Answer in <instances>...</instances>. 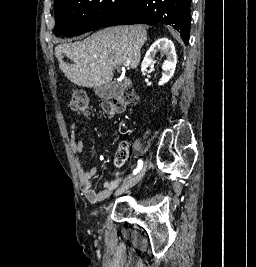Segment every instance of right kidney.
I'll return each mask as SVG.
<instances>
[{
  "instance_id": "1",
  "label": "right kidney",
  "mask_w": 256,
  "mask_h": 267,
  "mask_svg": "<svg viewBox=\"0 0 256 267\" xmlns=\"http://www.w3.org/2000/svg\"><path fill=\"white\" fill-rule=\"evenodd\" d=\"M157 52H163L166 56V60H164L162 66V78L159 82V86H162V84H166V82H169L170 78H172L175 72L177 58L173 42L168 40V38H159V40H156V42L150 46L148 52L145 54V58L141 64L143 76H146L145 72H147L148 66L152 64Z\"/></svg>"
}]
</instances>
